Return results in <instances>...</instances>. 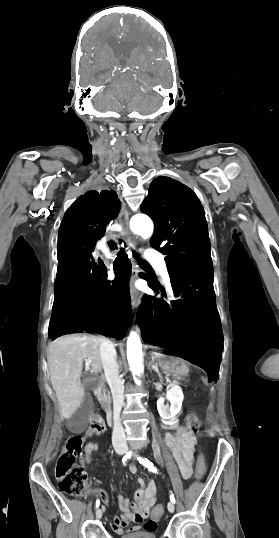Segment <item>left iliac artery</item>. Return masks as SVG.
<instances>
[{
    "instance_id": "left-iliac-artery-1",
    "label": "left iliac artery",
    "mask_w": 279,
    "mask_h": 538,
    "mask_svg": "<svg viewBox=\"0 0 279 538\" xmlns=\"http://www.w3.org/2000/svg\"><path fill=\"white\" fill-rule=\"evenodd\" d=\"M139 462L146 468L149 469V471L153 472V473H158L156 467L153 465L152 462H150L148 459L146 458H138ZM170 500L171 502L175 503V497H174V494H170Z\"/></svg>"
}]
</instances>
